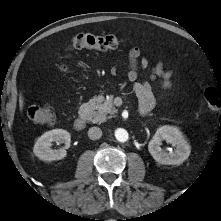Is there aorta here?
I'll return each instance as SVG.
<instances>
[{
    "label": "aorta",
    "mask_w": 221,
    "mask_h": 221,
    "mask_svg": "<svg viewBox=\"0 0 221 221\" xmlns=\"http://www.w3.org/2000/svg\"><path fill=\"white\" fill-rule=\"evenodd\" d=\"M114 136L119 142H126L129 137L128 132L123 128L116 129L114 132Z\"/></svg>",
    "instance_id": "obj_1"
}]
</instances>
